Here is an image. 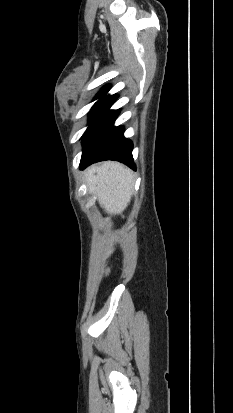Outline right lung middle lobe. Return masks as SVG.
Returning <instances> with one entry per match:
<instances>
[{"label":"right lung middle lobe","instance_id":"obj_1","mask_svg":"<svg viewBox=\"0 0 233 413\" xmlns=\"http://www.w3.org/2000/svg\"><path fill=\"white\" fill-rule=\"evenodd\" d=\"M110 89V86H105L96 96L95 99L100 98L95 105L92 107L91 111H90V116L93 115L94 111L96 110V108L99 106V104L101 103V101L104 99L106 93L108 92V90Z\"/></svg>","mask_w":233,"mask_h":413}]
</instances>
